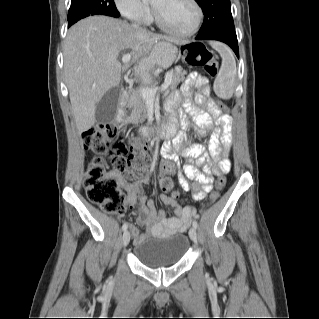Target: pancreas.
<instances>
[{
  "label": "pancreas",
  "instance_id": "obj_1",
  "mask_svg": "<svg viewBox=\"0 0 319 319\" xmlns=\"http://www.w3.org/2000/svg\"><path fill=\"white\" fill-rule=\"evenodd\" d=\"M170 72L172 74L170 89L174 90L181 82L184 81L186 71H184L181 67H176ZM150 86L151 88H155L156 82H151ZM128 106L132 108V112L128 118V121L132 124L143 123L147 118V103L145 98L142 97L140 91H131Z\"/></svg>",
  "mask_w": 319,
  "mask_h": 319
}]
</instances>
